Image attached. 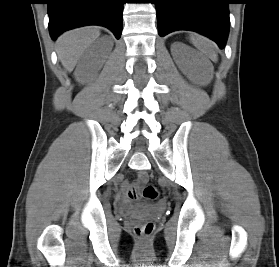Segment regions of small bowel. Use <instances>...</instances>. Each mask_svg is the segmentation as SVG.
Returning <instances> with one entry per match:
<instances>
[{"mask_svg":"<svg viewBox=\"0 0 279 267\" xmlns=\"http://www.w3.org/2000/svg\"><path fill=\"white\" fill-rule=\"evenodd\" d=\"M123 189L125 190L126 192V197L129 198V199H134V201H140L141 200V197L138 196V192H133L134 190H136V186H127V185H124L123 186Z\"/></svg>","mask_w":279,"mask_h":267,"instance_id":"obj_1","label":"small bowel"}]
</instances>
